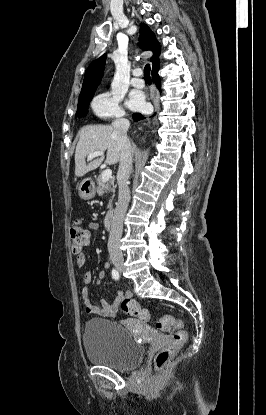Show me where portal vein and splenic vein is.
Masks as SVG:
<instances>
[{
  "label": "portal vein and splenic vein",
  "instance_id": "18ae733b",
  "mask_svg": "<svg viewBox=\"0 0 266 415\" xmlns=\"http://www.w3.org/2000/svg\"><path fill=\"white\" fill-rule=\"evenodd\" d=\"M104 152L103 151H95L93 153H91L90 155L87 156V160L90 161L93 158L97 157V156H103ZM102 181L106 182L108 181L111 177H112V170L111 169H105L102 174Z\"/></svg>",
  "mask_w": 266,
  "mask_h": 415
}]
</instances>
